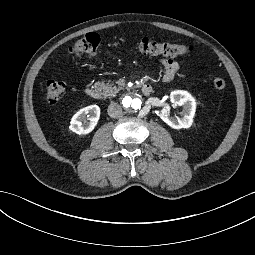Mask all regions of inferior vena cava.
Segmentation results:
<instances>
[{
	"instance_id": "602c4592",
	"label": "inferior vena cava",
	"mask_w": 255,
	"mask_h": 255,
	"mask_svg": "<svg viewBox=\"0 0 255 255\" xmlns=\"http://www.w3.org/2000/svg\"><path fill=\"white\" fill-rule=\"evenodd\" d=\"M107 111H108V115L111 118H118L122 113V109H121L120 105L117 103H114V102L110 103Z\"/></svg>"
}]
</instances>
